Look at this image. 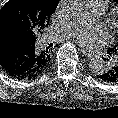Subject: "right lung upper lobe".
<instances>
[{
    "instance_id": "cb5924a9",
    "label": "right lung upper lobe",
    "mask_w": 118,
    "mask_h": 118,
    "mask_svg": "<svg viewBox=\"0 0 118 118\" xmlns=\"http://www.w3.org/2000/svg\"><path fill=\"white\" fill-rule=\"evenodd\" d=\"M42 4V8L45 12L49 13L50 11H53L56 9L59 0H39ZM45 28V27H44ZM9 30H16L15 28H13L10 25H2L0 24V34L2 32L5 31H9ZM43 29H41L42 31ZM19 31V30H16ZM41 31H39L38 33L32 35L31 37H28L26 34V37L28 39V41L33 45V46H37L38 51L36 54V71L39 73H42V71H44L49 63H50V50L49 47L45 48H40L39 46V42H38V38H39V34L41 33ZM21 32V31H20ZM23 33V32H22Z\"/></svg>"
}]
</instances>
